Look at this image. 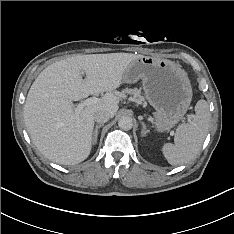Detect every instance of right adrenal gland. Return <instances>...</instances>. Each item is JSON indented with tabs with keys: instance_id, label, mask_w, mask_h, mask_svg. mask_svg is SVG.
<instances>
[{
	"instance_id": "obj_1",
	"label": "right adrenal gland",
	"mask_w": 234,
	"mask_h": 234,
	"mask_svg": "<svg viewBox=\"0 0 234 234\" xmlns=\"http://www.w3.org/2000/svg\"><path fill=\"white\" fill-rule=\"evenodd\" d=\"M102 126H103V124H99V125H96V126H95V129H94V132H93V137H92L93 144H96V143H97L98 129L101 128Z\"/></svg>"
}]
</instances>
